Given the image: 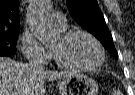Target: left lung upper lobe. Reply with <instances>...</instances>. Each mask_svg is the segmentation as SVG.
I'll return each instance as SVG.
<instances>
[{"label": "left lung upper lobe", "instance_id": "1", "mask_svg": "<svg viewBox=\"0 0 135 95\" xmlns=\"http://www.w3.org/2000/svg\"><path fill=\"white\" fill-rule=\"evenodd\" d=\"M66 1L74 20L92 33L113 56H118L113 44L112 35L105 23L97 0Z\"/></svg>", "mask_w": 135, "mask_h": 95}]
</instances>
